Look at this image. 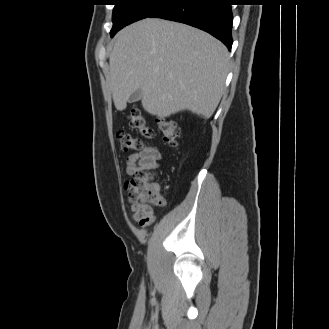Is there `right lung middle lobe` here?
Returning <instances> with one entry per match:
<instances>
[{
  "label": "right lung middle lobe",
  "instance_id": "obj_1",
  "mask_svg": "<svg viewBox=\"0 0 329 329\" xmlns=\"http://www.w3.org/2000/svg\"><path fill=\"white\" fill-rule=\"evenodd\" d=\"M115 7L113 9V28L110 32L111 37L117 31L135 21L150 17L173 0H113Z\"/></svg>",
  "mask_w": 329,
  "mask_h": 329
}]
</instances>
